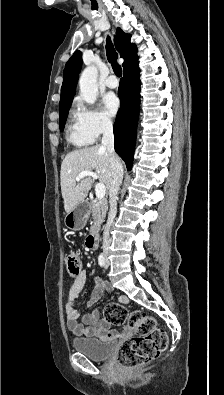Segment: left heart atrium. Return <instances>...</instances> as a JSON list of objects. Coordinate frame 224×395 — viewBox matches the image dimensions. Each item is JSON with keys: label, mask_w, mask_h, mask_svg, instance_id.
Returning <instances> with one entry per match:
<instances>
[{"label": "left heart atrium", "mask_w": 224, "mask_h": 395, "mask_svg": "<svg viewBox=\"0 0 224 395\" xmlns=\"http://www.w3.org/2000/svg\"><path fill=\"white\" fill-rule=\"evenodd\" d=\"M103 104L106 113L110 116H114L118 112L120 107V102L114 94H107L103 98Z\"/></svg>", "instance_id": "39dd6f15"}]
</instances>
